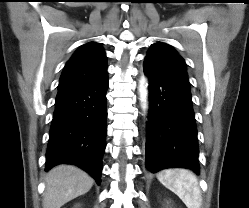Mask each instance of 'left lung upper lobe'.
Masks as SVG:
<instances>
[{
	"label": "left lung upper lobe",
	"mask_w": 249,
	"mask_h": 208,
	"mask_svg": "<svg viewBox=\"0 0 249 208\" xmlns=\"http://www.w3.org/2000/svg\"><path fill=\"white\" fill-rule=\"evenodd\" d=\"M146 59L161 63L187 74L186 63L168 44L157 42L151 45Z\"/></svg>",
	"instance_id": "left-lung-upper-lobe-1"
}]
</instances>
